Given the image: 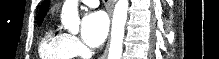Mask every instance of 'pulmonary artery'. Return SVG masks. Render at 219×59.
I'll use <instances>...</instances> for the list:
<instances>
[{"mask_svg": "<svg viewBox=\"0 0 219 59\" xmlns=\"http://www.w3.org/2000/svg\"><path fill=\"white\" fill-rule=\"evenodd\" d=\"M81 2L87 6H90V7H97L98 6V1H96V0H83Z\"/></svg>", "mask_w": 219, "mask_h": 59, "instance_id": "obj_1", "label": "pulmonary artery"}]
</instances>
